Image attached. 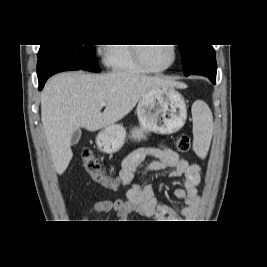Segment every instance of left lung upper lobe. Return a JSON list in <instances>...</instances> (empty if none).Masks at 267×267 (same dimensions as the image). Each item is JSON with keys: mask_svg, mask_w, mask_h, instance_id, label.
Returning a JSON list of instances; mask_svg holds the SVG:
<instances>
[{"mask_svg": "<svg viewBox=\"0 0 267 267\" xmlns=\"http://www.w3.org/2000/svg\"><path fill=\"white\" fill-rule=\"evenodd\" d=\"M179 49L186 76L204 61L215 59V51L212 45H179Z\"/></svg>", "mask_w": 267, "mask_h": 267, "instance_id": "left-lung-upper-lobe-1", "label": "left lung upper lobe"}]
</instances>
